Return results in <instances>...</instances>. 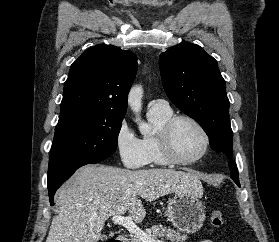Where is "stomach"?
<instances>
[{
  "mask_svg": "<svg viewBox=\"0 0 279 242\" xmlns=\"http://www.w3.org/2000/svg\"><path fill=\"white\" fill-rule=\"evenodd\" d=\"M200 196L193 192H178L168 201V219L175 228L190 234L203 226L205 210Z\"/></svg>",
  "mask_w": 279,
  "mask_h": 242,
  "instance_id": "0dacf381",
  "label": "stomach"
}]
</instances>
